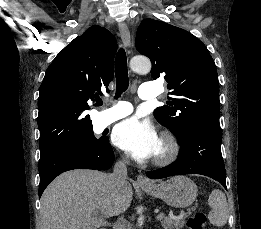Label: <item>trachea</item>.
Returning <instances> with one entry per match:
<instances>
[{
    "mask_svg": "<svg viewBox=\"0 0 261 229\" xmlns=\"http://www.w3.org/2000/svg\"><path fill=\"white\" fill-rule=\"evenodd\" d=\"M115 76H116V98L120 97L122 92L127 90L129 86L128 79V67H127V57L125 50L121 47L119 49L116 60H115ZM101 99L96 100L95 105H102Z\"/></svg>",
    "mask_w": 261,
    "mask_h": 229,
    "instance_id": "obj_1",
    "label": "trachea"
}]
</instances>
